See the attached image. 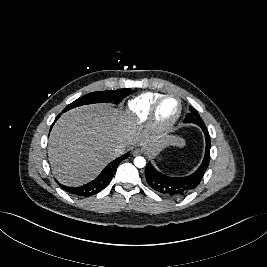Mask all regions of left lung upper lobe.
Segmentation results:
<instances>
[{"label": "left lung upper lobe", "instance_id": "5c2ea615", "mask_svg": "<svg viewBox=\"0 0 267 267\" xmlns=\"http://www.w3.org/2000/svg\"><path fill=\"white\" fill-rule=\"evenodd\" d=\"M184 123H194L197 125H205L199 114L196 110L192 111L191 113H188L184 119Z\"/></svg>", "mask_w": 267, "mask_h": 267}]
</instances>
